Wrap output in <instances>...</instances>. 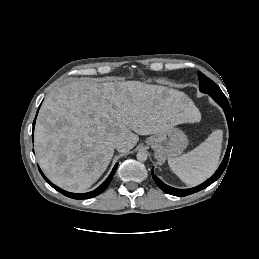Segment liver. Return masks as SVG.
I'll return each mask as SVG.
<instances>
[{"instance_id": "1", "label": "liver", "mask_w": 259, "mask_h": 259, "mask_svg": "<svg viewBox=\"0 0 259 259\" xmlns=\"http://www.w3.org/2000/svg\"><path fill=\"white\" fill-rule=\"evenodd\" d=\"M200 119L193 101L174 89L140 81L72 78L45 99L36 122L35 152L54 184L83 192L107 169L114 140L123 141L118 151L126 153L138 135Z\"/></svg>"}]
</instances>
